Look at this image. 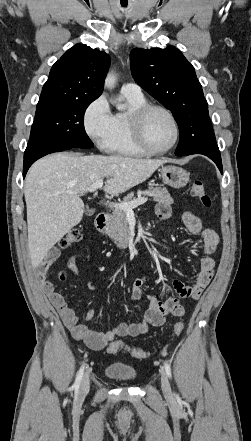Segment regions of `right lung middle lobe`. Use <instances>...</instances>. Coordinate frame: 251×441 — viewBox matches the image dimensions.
Listing matches in <instances>:
<instances>
[{"label": "right lung middle lobe", "mask_w": 251, "mask_h": 441, "mask_svg": "<svg viewBox=\"0 0 251 441\" xmlns=\"http://www.w3.org/2000/svg\"><path fill=\"white\" fill-rule=\"evenodd\" d=\"M96 98L38 102L30 140L69 148H92L84 113Z\"/></svg>", "instance_id": "obj_1"}]
</instances>
